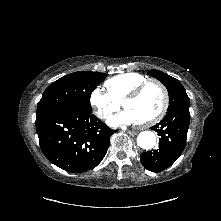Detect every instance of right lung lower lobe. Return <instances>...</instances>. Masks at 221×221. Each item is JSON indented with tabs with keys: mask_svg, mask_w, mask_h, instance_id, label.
Masks as SVG:
<instances>
[{
	"mask_svg": "<svg viewBox=\"0 0 221 221\" xmlns=\"http://www.w3.org/2000/svg\"><path fill=\"white\" fill-rule=\"evenodd\" d=\"M45 157L63 170L81 173L96 167L110 144V129L92 112L61 108L36 118Z\"/></svg>",
	"mask_w": 221,
	"mask_h": 221,
	"instance_id": "98d812e1",
	"label": "right lung lower lobe"
}]
</instances>
